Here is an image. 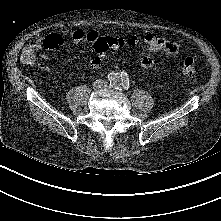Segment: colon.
<instances>
[{"mask_svg": "<svg viewBox=\"0 0 221 221\" xmlns=\"http://www.w3.org/2000/svg\"><path fill=\"white\" fill-rule=\"evenodd\" d=\"M139 42L136 37H131L128 40L121 38H113L101 36L93 43L95 52L102 54L110 49L122 47L124 45L136 47ZM36 60L35 47L30 45L25 47L21 52V61L25 64H33ZM176 72L182 77H193L196 74V64L192 57H186L183 62L176 67Z\"/></svg>", "mask_w": 221, "mask_h": 221, "instance_id": "obj_1", "label": "colon"}]
</instances>
